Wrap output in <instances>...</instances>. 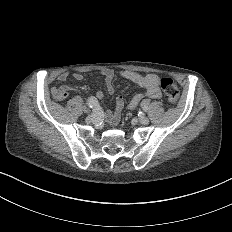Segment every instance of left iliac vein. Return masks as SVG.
<instances>
[{"mask_svg": "<svg viewBox=\"0 0 232 232\" xmlns=\"http://www.w3.org/2000/svg\"><path fill=\"white\" fill-rule=\"evenodd\" d=\"M134 121H137V118H134ZM138 122H141L142 126H147L150 123V120L148 118L145 119H138Z\"/></svg>", "mask_w": 232, "mask_h": 232, "instance_id": "obj_1", "label": "left iliac vein"}]
</instances>
